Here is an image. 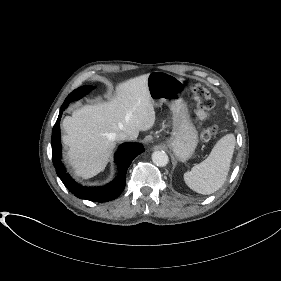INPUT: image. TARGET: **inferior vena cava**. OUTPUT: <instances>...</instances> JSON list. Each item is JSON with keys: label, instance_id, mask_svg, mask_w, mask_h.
Segmentation results:
<instances>
[{"label": "inferior vena cava", "instance_id": "1", "mask_svg": "<svg viewBox=\"0 0 281 281\" xmlns=\"http://www.w3.org/2000/svg\"><path fill=\"white\" fill-rule=\"evenodd\" d=\"M115 139L116 140H128V139H131V137L126 132L120 131L115 134Z\"/></svg>", "mask_w": 281, "mask_h": 281}]
</instances>
